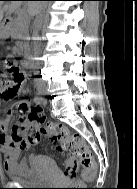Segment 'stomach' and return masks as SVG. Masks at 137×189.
I'll return each instance as SVG.
<instances>
[{
  "instance_id": "0dacf381",
  "label": "stomach",
  "mask_w": 137,
  "mask_h": 189,
  "mask_svg": "<svg viewBox=\"0 0 137 189\" xmlns=\"http://www.w3.org/2000/svg\"><path fill=\"white\" fill-rule=\"evenodd\" d=\"M10 35L9 29L6 27H0V38H6Z\"/></svg>"
}]
</instances>
